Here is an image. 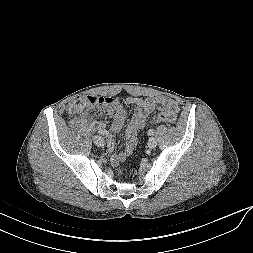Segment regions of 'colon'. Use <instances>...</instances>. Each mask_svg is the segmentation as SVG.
<instances>
[{"mask_svg":"<svg viewBox=\"0 0 253 253\" xmlns=\"http://www.w3.org/2000/svg\"><path fill=\"white\" fill-rule=\"evenodd\" d=\"M99 109H105L108 113L114 116L117 111H122L125 109V102L121 99L114 100L107 97L87 95L76 98L68 106V111L74 115ZM176 120L177 116L169 113L160 115L159 117L153 119V122L174 123Z\"/></svg>","mask_w":253,"mask_h":253,"instance_id":"obj_1","label":"colon"}]
</instances>
